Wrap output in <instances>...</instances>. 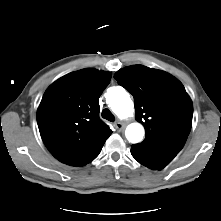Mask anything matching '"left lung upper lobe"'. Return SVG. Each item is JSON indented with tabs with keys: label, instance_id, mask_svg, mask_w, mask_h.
Wrapping results in <instances>:
<instances>
[{
	"label": "left lung upper lobe",
	"instance_id": "1",
	"mask_svg": "<svg viewBox=\"0 0 221 221\" xmlns=\"http://www.w3.org/2000/svg\"><path fill=\"white\" fill-rule=\"evenodd\" d=\"M114 78L134 97L135 117L146 131L140 144L172 160L192 125L193 104L182 83L167 72L143 65L125 67Z\"/></svg>",
	"mask_w": 221,
	"mask_h": 221
}]
</instances>
